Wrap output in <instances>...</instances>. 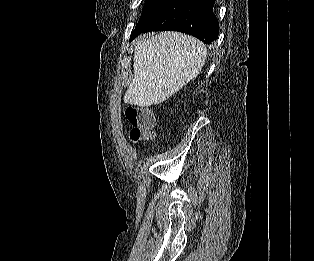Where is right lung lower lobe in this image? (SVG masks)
<instances>
[{"instance_id": "1", "label": "right lung lower lobe", "mask_w": 314, "mask_h": 261, "mask_svg": "<svg viewBox=\"0 0 314 261\" xmlns=\"http://www.w3.org/2000/svg\"><path fill=\"white\" fill-rule=\"evenodd\" d=\"M216 0H173L159 13L137 25L130 37L148 31H179L197 37L206 44L218 38L219 25L213 12Z\"/></svg>"}]
</instances>
